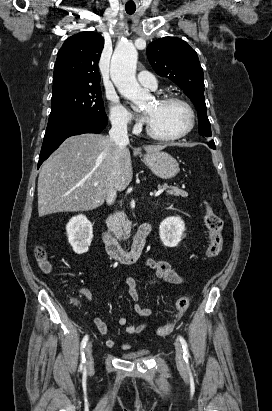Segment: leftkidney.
Here are the masks:
<instances>
[{
    "label": "left kidney",
    "mask_w": 272,
    "mask_h": 411,
    "mask_svg": "<svg viewBox=\"0 0 272 411\" xmlns=\"http://www.w3.org/2000/svg\"><path fill=\"white\" fill-rule=\"evenodd\" d=\"M185 223L178 216L164 219L159 226L160 239L164 246L175 247L182 240Z\"/></svg>",
    "instance_id": "1"
}]
</instances>
